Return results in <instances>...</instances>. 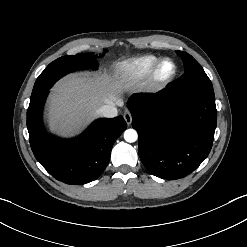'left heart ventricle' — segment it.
<instances>
[{
    "instance_id": "obj_1",
    "label": "left heart ventricle",
    "mask_w": 247,
    "mask_h": 247,
    "mask_svg": "<svg viewBox=\"0 0 247 247\" xmlns=\"http://www.w3.org/2000/svg\"><path fill=\"white\" fill-rule=\"evenodd\" d=\"M174 71V65L172 62H164L159 69V77L165 79L169 77Z\"/></svg>"
}]
</instances>
